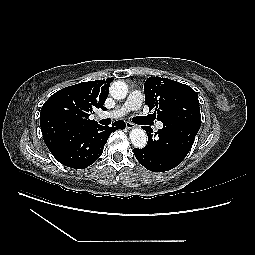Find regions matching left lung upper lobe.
<instances>
[{"mask_svg": "<svg viewBox=\"0 0 255 255\" xmlns=\"http://www.w3.org/2000/svg\"><path fill=\"white\" fill-rule=\"evenodd\" d=\"M145 103L165 124L201 123L198 94L188 85L168 78L149 77L144 84Z\"/></svg>", "mask_w": 255, "mask_h": 255, "instance_id": "left-lung-upper-lobe-1", "label": "left lung upper lobe"}]
</instances>
